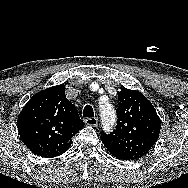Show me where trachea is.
Returning <instances> with one entry per match:
<instances>
[{
  "instance_id": "1",
  "label": "trachea",
  "mask_w": 188,
  "mask_h": 188,
  "mask_svg": "<svg viewBox=\"0 0 188 188\" xmlns=\"http://www.w3.org/2000/svg\"><path fill=\"white\" fill-rule=\"evenodd\" d=\"M83 117H94V111H93L92 106L87 105L84 107Z\"/></svg>"
}]
</instances>
